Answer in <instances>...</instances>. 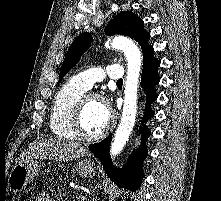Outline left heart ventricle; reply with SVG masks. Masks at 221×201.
Returning a JSON list of instances; mask_svg holds the SVG:
<instances>
[{"instance_id": "obj_1", "label": "left heart ventricle", "mask_w": 221, "mask_h": 201, "mask_svg": "<svg viewBox=\"0 0 221 201\" xmlns=\"http://www.w3.org/2000/svg\"><path fill=\"white\" fill-rule=\"evenodd\" d=\"M109 123V113L99 101H90L82 116V127L86 134L100 133Z\"/></svg>"}]
</instances>
